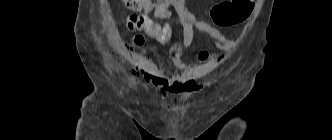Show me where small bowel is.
<instances>
[{
    "mask_svg": "<svg viewBox=\"0 0 332 140\" xmlns=\"http://www.w3.org/2000/svg\"><path fill=\"white\" fill-rule=\"evenodd\" d=\"M171 9L178 14L182 29L181 37L173 43L170 49L174 71L166 74L155 64H149L145 76L164 93H179L187 90L190 84L191 67L184 62L183 58L193 42L195 30L206 34L211 44L221 50L230 51L236 42L226 38L221 31L209 23L197 19L189 10L187 0H159L154 8V13L157 18L166 19L170 17ZM151 10L152 7L145 9L146 12ZM152 38L161 44H167L173 40V36L169 38L154 36ZM198 58L201 62H206L209 59V53L202 50L199 52Z\"/></svg>",
    "mask_w": 332,
    "mask_h": 140,
    "instance_id": "obj_1",
    "label": "small bowel"
}]
</instances>
